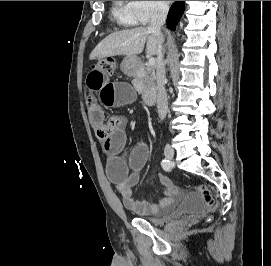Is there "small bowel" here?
Wrapping results in <instances>:
<instances>
[{
	"label": "small bowel",
	"instance_id": "obj_1",
	"mask_svg": "<svg viewBox=\"0 0 271 266\" xmlns=\"http://www.w3.org/2000/svg\"><path fill=\"white\" fill-rule=\"evenodd\" d=\"M111 75L97 67L91 69L87 77L90 94L86 101L90 125L108 153L106 164L108 179L121 194L124 206L137 214H155L169 209L180 199L181 191L163 174L159 175V182L164 187L165 195L162 200L149 203L133 197V187L140 180V170L147 157V148L144 144L137 146L127 160L121 155L126 142V119L116 115L105 122L103 110L93 94L99 93L101 102L109 107L130 104L135 100V94L128 83L112 82Z\"/></svg>",
	"mask_w": 271,
	"mask_h": 266
}]
</instances>
